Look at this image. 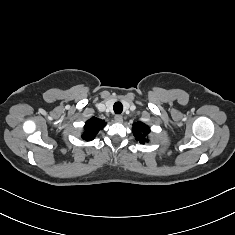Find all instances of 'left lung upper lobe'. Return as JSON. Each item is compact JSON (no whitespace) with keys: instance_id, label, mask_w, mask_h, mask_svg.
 I'll return each mask as SVG.
<instances>
[{"instance_id":"left-lung-upper-lobe-1","label":"left lung upper lobe","mask_w":235,"mask_h":235,"mask_svg":"<svg viewBox=\"0 0 235 235\" xmlns=\"http://www.w3.org/2000/svg\"><path fill=\"white\" fill-rule=\"evenodd\" d=\"M132 131L140 143L148 142L146 137L149 134L150 129L147 125L142 122H136L133 124Z\"/></svg>"}]
</instances>
